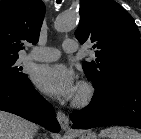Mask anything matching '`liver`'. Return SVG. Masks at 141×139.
<instances>
[{
  "instance_id": "obj_1",
  "label": "liver",
  "mask_w": 141,
  "mask_h": 139,
  "mask_svg": "<svg viewBox=\"0 0 141 139\" xmlns=\"http://www.w3.org/2000/svg\"><path fill=\"white\" fill-rule=\"evenodd\" d=\"M38 128L28 120L0 111V139H33Z\"/></svg>"
}]
</instances>
